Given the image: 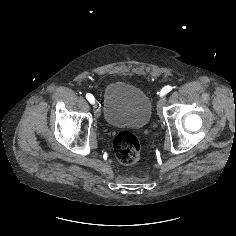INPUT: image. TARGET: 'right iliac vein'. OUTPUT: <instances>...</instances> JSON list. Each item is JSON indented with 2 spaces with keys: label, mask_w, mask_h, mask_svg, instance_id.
Segmentation results:
<instances>
[{
  "label": "right iliac vein",
  "mask_w": 236,
  "mask_h": 236,
  "mask_svg": "<svg viewBox=\"0 0 236 236\" xmlns=\"http://www.w3.org/2000/svg\"><path fill=\"white\" fill-rule=\"evenodd\" d=\"M94 114L96 117L100 116V108L98 107L97 104L94 105Z\"/></svg>",
  "instance_id": "63e3f726"
}]
</instances>
